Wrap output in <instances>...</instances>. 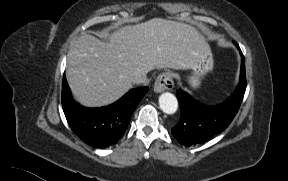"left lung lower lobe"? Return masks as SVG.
Wrapping results in <instances>:
<instances>
[{"instance_id":"0a47b994","label":"left lung lower lobe","mask_w":288,"mask_h":181,"mask_svg":"<svg viewBox=\"0 0 288 181\" xmlns=\"http://www.w3.org/2000/svg\"><path fill=\"white\" fill-rule=\"evenodd\" d=\"M237 47L239 48L238 45ZM241 57L239 85L225 102L216 106H206L182 90L177 91L181 117L178 124L172 128V134L180 144L192 146L203 143L225 130L232 122L246 90L245 62L242 53Z\"/></svg>"}]
</instances>
